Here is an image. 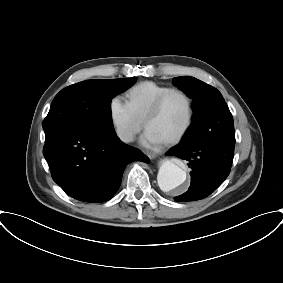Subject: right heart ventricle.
Segmentation results:
<instances>
[{
	"instance_id": "e07e8e85",
	"label": "right heart ventricle",
	"mask_w": 283,
	"mask_h": 283,
	"mask_svg": "<svg viewBox=\"0 0 283 283\" xmlns=\"http://www.w3.org/2000/svg\"><path fill=\"white\" fill-rule=\"evenodd\" d=\"M170 86L154 81H143L132 86L126 92V103L134 116L141 122L155 100Z\"/></svg>"
}]
</instances>
